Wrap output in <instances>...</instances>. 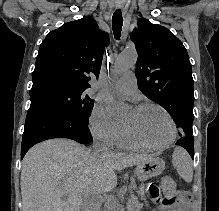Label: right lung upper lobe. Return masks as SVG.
Wrapping results in <instances>:
<instances>
[{
    "label": "right lung upper lobe",
    "mask_w": 219,
    "mask_h": 211,
    "mask_svg": "<svg viewBox=\"0 0 219 211\" xmlns=\"http://www.w3.org/2000/svg\"><path fill=\"white\" fill-rule=\"evenodd\" d=\"M108 44V34L101 32L90 16L51 31L40 45L31 91L49 84L89 88L91 77L99 76Z\"/></svg>",
    "instance_id": "right-lung-upper-lobe-1"
}]
</instances>
